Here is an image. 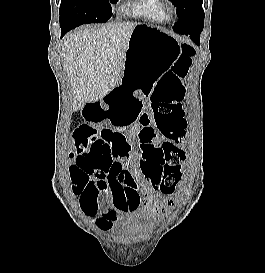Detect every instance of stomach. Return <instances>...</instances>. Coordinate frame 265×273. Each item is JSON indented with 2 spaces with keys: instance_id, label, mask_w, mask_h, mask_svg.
<instances>
[{
  "instance_id": "0dacf381",
  "label": "stomach",
  "mask_w": 265,
  "mask_h": 273,
  "mask_svg": "<svg viewBox=\"0 0 265 273\" xmlns=\"http://www.w3.org/2000/svg\"><path fill=\"white\" fill-rule=\"evenodd\" d=\"M178 49L179 42L167 31L149 24L137 25L129 39L122 77L114 90L150 95L155 81L176 59Z\"/></svg>"
}]
</instances>
